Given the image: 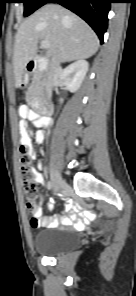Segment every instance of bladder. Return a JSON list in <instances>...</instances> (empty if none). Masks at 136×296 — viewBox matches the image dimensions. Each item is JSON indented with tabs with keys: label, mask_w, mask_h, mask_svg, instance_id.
<instances>
[{
	"label": "bladder",
	"mask_w": 136,
	"mask_h": 296,
	"mask_svg": "<svg viewBox=\"0 0 136 296\" xmlns=\"http://www.w3.org/2000/svg\"><path fill=\"white\" fill-rule=\"evenodd\" d=\"M78 243V235L63 227L38 232L33 238L35 251L48 256L62 254L74 248Z\"/></svg>",
	"instance_id": "1"
}]
</instances>
